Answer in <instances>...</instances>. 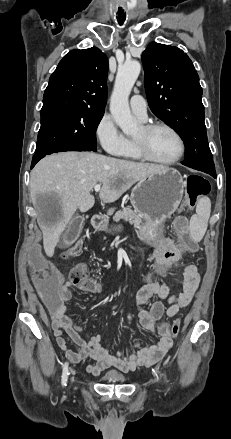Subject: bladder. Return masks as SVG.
Returning a JSON list of instances; mask_svg holds the SVG:
<instances>
[{
  "instance_id": "31cf9c89",
  "label": "bladder",
  "mask_w": 231,
  "mask_h": 439,
  "mask_svg": "<svg viewBox=\"0 0 231 439\" xmlns=\"http://www.w3.org/2000/svg\"><path fill=\"white\" fill-rule=\"evenodd\" d=\"M103 380L108 383H123L126 381V377L117 370H109L104 374Z\"/></svg>"
}]
</instances>
